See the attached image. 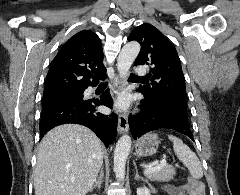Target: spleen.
<instances>
[{"instance_id": "3e777b00", "label": "spleen", "mask_w": 240, "mask_h": 195, "mask_svg": "<svg viewBox=\"0 0 240 195\" xmlns=\"http://www.w3.org/2000/svg\"><path fill=\"white\" fill-rule=\"evenodd\" d=\"M168 137L170 141H173L175 155H178L179 159L188 167L192 177H195V179L203 177L201 161H199L196 153L186 143H183L179 137H175V135H168Z\"/></svg>"}]
</instances>
